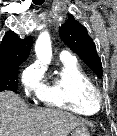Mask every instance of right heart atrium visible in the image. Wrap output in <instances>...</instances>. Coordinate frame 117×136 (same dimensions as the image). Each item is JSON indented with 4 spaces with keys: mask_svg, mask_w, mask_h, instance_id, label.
Listing matches in <instances>:
<instances>
[{
    "mask_svg": "<svg viewBox=\"0 0 117 136\" xmlns=\"http://www.w3.org/2000/svg\"><path fill=\"white\" fill-rule=\"evenodd\" d=\"M21 81L27 95L34 94L41 99L45 86L43 84V72L38 66L27 67L21 75Z\"/></svg>",
    "mask_w": 117,
    "mask_h": 136,
    "instance_id": "right-heart-atrium-1",
    "label": "right heart atrium"
}]
</instances>
